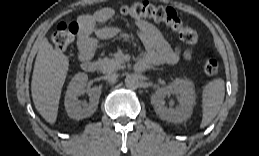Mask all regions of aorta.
Segmentation results:
<instances>
[{
	"mask_svg": "<svg viewBox=\"0 0 259 156\" xmlns=\"http://www.w3.org/2000/svg\"><path fill=\"white\" fill-rule=\"evenodd\" d=\"M125 85L129 89H137L139 86V80L134 75H129L125 78Z\"/></svg>",
	"mask_w": 259,
	"mask_h": 156,
	"instance_id": "aorta-1",
	"label": "aorta"
}]
</instances>
